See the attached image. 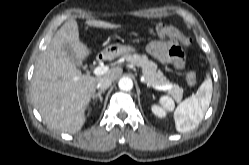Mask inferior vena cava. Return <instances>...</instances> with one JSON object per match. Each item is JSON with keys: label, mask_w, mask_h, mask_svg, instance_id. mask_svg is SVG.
Instances as JSON below:
<instances>
[{"label": "inferior vena cava", "mask_w": 249, "mask_h": 165, "mask_svg": "<svg viewBox=\"0 0 249 165\" xmlns=\"http://www.w3.org/2000/svg\"><path fill=\"white\" fill-rule=\"evenodd\" d=\"M112 84V80L110 78H101L97 83V88L100 90H105L109 88Z\"/></svg>", "instance_id": "1"}]
</instances>
